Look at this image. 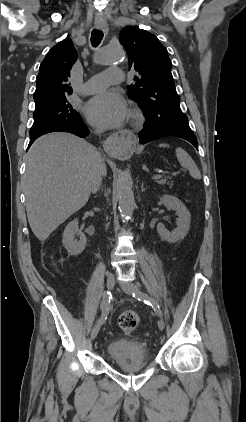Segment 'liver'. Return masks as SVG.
<instances>
[{"mask_svg": "<svg viewBox=\"0 0 246 422\" xmlns=\"http://www.w3.org/2000/svg\"><path fill=\"white\" fill-rule=\"evenodd\" d=\"M95 148L70 133L38 138L26 157L24 190L28 222L34 235H49L88 201ZM106 174V166L102 161Z\"/></svg>", "mask_w": 246, "mask_h": 422, "instance_id": "liver-1", "label": "liver"}]
</instances>
